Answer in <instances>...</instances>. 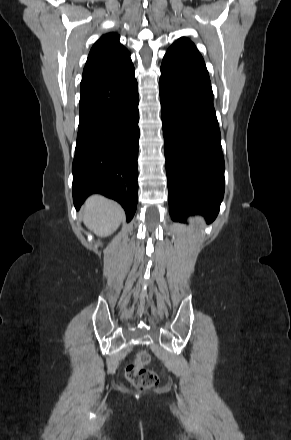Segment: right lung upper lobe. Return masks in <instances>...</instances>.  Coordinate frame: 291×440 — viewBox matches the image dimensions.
<instances>
[{
    "mask_svg": "<svg viewBox=\"0 0 291 440\" xmlns=\"http://www.w3.org/2000/svg\"><path fill=\"white\" fill-rule=\"evenodd\" d=\"M119 35H103L90 50L82 80L108 77L133 67L129 51L119 42Z\"/></svg>",
    "mask_w": 291,
    "mask_h": 440,
    "instance_id": "1",
    "label": "right lung upper lobe"
}]
</instances>
